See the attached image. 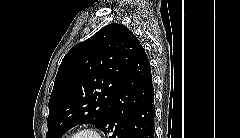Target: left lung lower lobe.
Returning <instances> with one entry per match:
<instances>
[{
	"label": "left lung lower lobe",
	"mask_w": 240,
	"mask_h": 138,
	"mask_svg": "<svg viewBox=\"0 0 240 138\" xmlns=\"http://www.w3.org/2000/svg\"><path fill=\"white\" fill-rule=\"evenodd\" d=\"M154 110L150 62L141 47L100 129L109 138H154Z\"/></svg>",
	"instance_id": "left-lung-lower-lobe-1"
}]
</instances>
